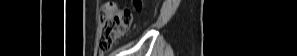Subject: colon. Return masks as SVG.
<instances>
[{
  "instance_id": "5ec220e1",
  "label": "colon",
  "mask_w": 297,
  "mask_h": 56,
  "mask_svg": "<svg viewBox=\"0 0 297 56\" xmlns=\"http://www.w3.org/2000/svg\"><path fill=\"white\" fill-rule=\"evenodd\" d=\"M134 4L137 8L141 6L138 0ZM132 21L130 9H121L116 1L105 2L100 10V52H109L115 41L129 29Z\"/></svg>"
}]
</instances>
